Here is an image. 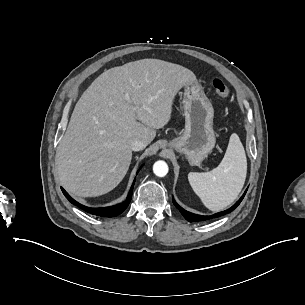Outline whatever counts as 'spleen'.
<instances>
[{
  "mask_svg": "<svg viewBox=\"0 0 305 305\" xmlns=\"http://www.w3.org/2000/svg\"><path fill=\"white\" fill-rule=\"evenodd\" d=\"M246 176V156L236 134H232L220 164L205 173H188V182L201 203L218 211L240 193Z\"/></svg>",
  "mask_w": 305,
  "mask_h": 305,
  "instance_id": "3e777b00",
  "label": "spleen"
}]
</instances>
